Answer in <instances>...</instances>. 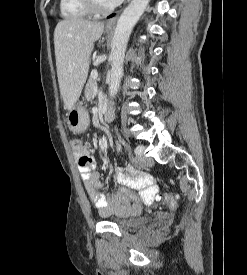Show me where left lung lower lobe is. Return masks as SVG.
<instances>
[{"label":"left lung lower lobe","instance_id":"obj_1","mask_svg":"<svg viewBox=\"0 0 247 275\" xmlns=\"http://www.w3.org/2000/svg\"><path fill=\"white\" fill-rule=\"evenodd\" d=\"M114 14L110 15L109 17H112Z\"/></svg>","mask_w":247,"mask_h":275}]
</instances>
